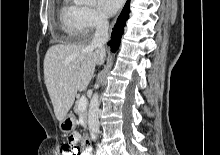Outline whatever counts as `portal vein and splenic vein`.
I'll list each match as a JSON object with an SVG mask.
<instances>
[{
  "label": "portal vein and splenic vein",
  "mask_w": 220,
  "mask_h": 155,
  "mask_svg": "<svg viewBox=\"0 0 220 155\" xmlns=\"http://www.w3.org/2000/svg\"><path fill=\"white\" fill-rule=\"evenodd\" d=\"M87 107V99L85 97H81L78 102L79 110H85Z\"/></svg>",
  "instance_id": "obj_1"
}]
</instances>
